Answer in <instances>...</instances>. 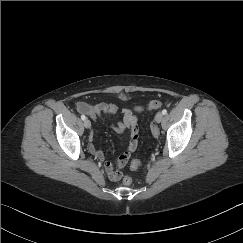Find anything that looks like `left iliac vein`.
Instances as JSON below:
<instances>
[{"label": "left iliac vein", "mask_w": 243, "mask_h": 243, "mask_svg": "<svg viewBox=\"0 0 243 243\" xmlns=\"http://www.w3.org/2000/svg\"><path fill=\"white\" fill-rule=\"evenodd\" d=\"M163 120V114L161 112H158L155 116V121L157 123H160ZM154 135H156V132H154Z\"/></svg>", "instance_id": "4c4485c4"}]
</instances>
